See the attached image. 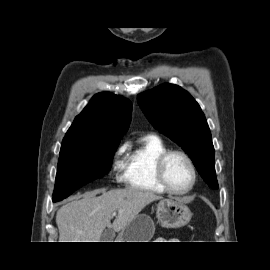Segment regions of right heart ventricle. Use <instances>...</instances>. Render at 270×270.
Returning a JSON list of instances; mask_svg holds the SVG:
<instances>
[{"label":"right heart ventricle","instance_id":"obj_1","mask_svg":"<svg viewBox=\"0 0 270 270\" xmlns=\"http://www.w3.org/2000/svg\"><path fill=\"white\" fill-rule=\"evenodd\" d=\"M167 150V146L159 137H143L127 155L123 175L126 186L151 194L165 193V189L157 180L155 164L158 157Z\"/></svg>","mask_w":270,"mask_h":270}]
</instances>
